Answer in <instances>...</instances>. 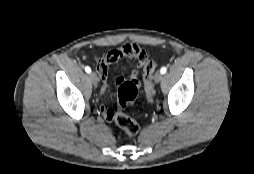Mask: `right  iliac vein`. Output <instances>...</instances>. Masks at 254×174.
<instances>
[{
	"label": "right iliac vein",
	"instance_id": "63e3f726",
	"mask_svg": "<svg viewBox=\"0 0 254 174\" xmlns=\"http://www.w3.org/2000/svg\"><path fill=\"white\" fill-rule=\"evenodd\" d=\"M89 77H90V80H91V82L93 83V85L94 86H97V84H98V76L94 73V72H91L90 74H89Z\"/></svg>",
	"mask_w": 254,
	"mask_h": 174
}]
</instances>
